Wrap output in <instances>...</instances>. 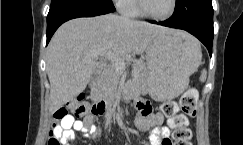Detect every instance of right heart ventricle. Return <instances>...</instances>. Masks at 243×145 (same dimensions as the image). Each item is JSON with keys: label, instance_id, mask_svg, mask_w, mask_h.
<instances>
[{"label": "right heart ventricle", "instance_id": "obj_1", "mask_svg": "<svg viewBox=\"0 0 243 145\" xmlns=\"http://www.w3.org/2000/svg\"><path fill=\"white\" fill-rule=\"evenodd\" d=\"M121 10L124 15L129 17H136L140 15L137 11L135 0H129L128 3Z\"/></svg>", "mask_w": 243, "mask_h": 145}]
</instances>
